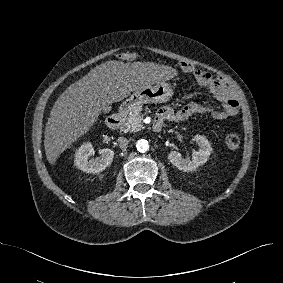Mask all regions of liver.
<instances>
[{
    "label": "liver",
    "mask_w": 283,
    "mask_h": 283,
    "mask_svg": "<svg viewBox=\"0 0 283 283\" xmlns=\"http://www.w3.org/2000/svg\"><path fill=\"white\" fill-rule=\"evenodd\" d=\"M176 75L175 69L153 62L110 60L91 69L58 97L51 110L44 132L48 162L54 164L90 130L102 111L111 110L112 103Z\"/></svg>",
    "instance_id": "6515ba94"
}]
</instances>
